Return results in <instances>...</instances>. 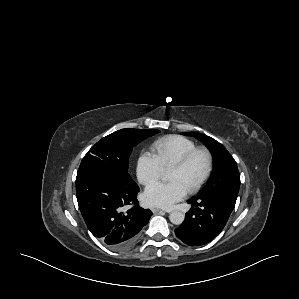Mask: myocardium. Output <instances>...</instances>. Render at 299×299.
<instances>
[{
  "label": "myocardium",
  "mask_w": 299,
  "mask_h": 299,
  "mask_svg": "<svg viewBox=\"0 0 299 299\" xmlns=\"http://www.w3.org/2000/svg\"><path fill=\"white\" fill-rule=\"evenodd\" d=\"M200 153L204 154L205 157H206V162H207L206 170H205L204 174L202 175V177L199 179V181L187 190L189 193L197 192L207 182V180L211 176V173L213 171V165H214L213 155H212L211 151L208 148H205V147H196L193 150L186 153L180 160H178L169 169V170H182V169H184L190 163V161L197 154H200Z\"/></svg>",
  "instance_id": "f54148a6"
}]
</instances>
